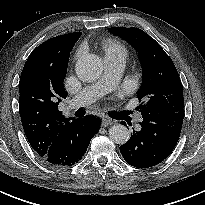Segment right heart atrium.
<instances>
[{
  "label": "right heart atrium",
  "mask_w": 205,
  "mask_h": 205,
  "mask_svg": "<svg viewBox=\"0 0 205 205\" xmlns=\"http://www.w3.org/2000/svg\"><path fill=\"white\" fill-rule=\"evenodd\" d=\"M81 54V50H78L77 53H76V57H79Z\"/></svg>",
  "instance_id": "right-heart-atrium-1"
}]
</instances>
